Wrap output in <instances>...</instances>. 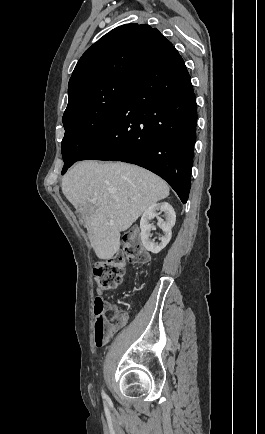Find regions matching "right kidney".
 <instances>
[{"label":"right kidney","mask_w":265,"mask_h":434,"mask_svg":"<svg viewBox=\"0 0 265 434\" xmlns=\"http://www.w3.org/2000/svg\"><path fill=\"white\" fill-rule=\"evenodd\" d=\"M160 210V212H159ZM158 212V214H157ZM164 212L166 218L165 222L163 220H158L157 226L161 228L164 232L163 238H161V244H155L151 238V230L154 228L152 224H150V220L153 218H158L159 214ZM176 222V214L174 212V208L167 204V202H162V204H153V206H149L147 210H145L141 220H140V228H141V240L144 248L148 250V252H152V254H159L167 244H169L172 238V228L175 226Z\"/></svg>","instance_id":"ca27d5eb"}]
</instances>
